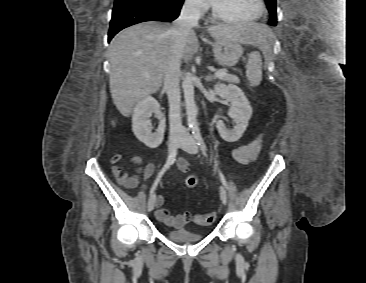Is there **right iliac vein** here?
<instances>
[{"label": "right iliac vein", "mask_w": 366, "mask_h": 283, "mask_svg": "<svg viewBox=\"0 0 366 283\" xmlns=\"http://www.w3.org/2000/svg\"><path fill=\"white\" fill-rule=\"evenodd\" d=\"M180 139H181L180 135H171L170 136L169 141H168V148H169L170 153L176 149ZM155 202H156V195H155V193H153V194H151V196L148 199L147 208L149 211H152L154 209Z\"/></svg>", "instance_id": "1"}]
</instances>
